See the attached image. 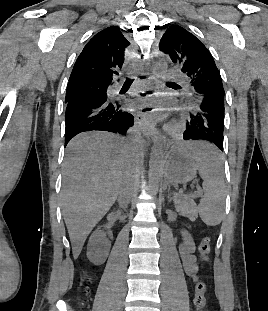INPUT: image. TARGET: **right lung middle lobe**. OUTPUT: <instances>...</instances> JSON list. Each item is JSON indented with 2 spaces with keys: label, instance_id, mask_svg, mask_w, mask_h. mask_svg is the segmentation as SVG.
<instances>
[{
  "label": "right lung middle lobe",
  "instance_id": "1",
  "mask_svg": "<svg viewBox=\"0 0 268 311\" xmlns=\"http://www.w3.org/2000/svg\"><path fill=\"white\" fill-rule=\"evenodd\" d=\"M107 87L95 86L90 84H79L67 88L66 102L72 98H107Z\"/></svg>",
  "mask_w": 268,
  "mask_h": 311
}]
</instances>
